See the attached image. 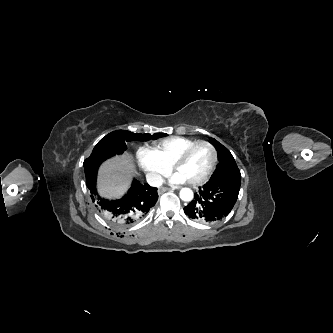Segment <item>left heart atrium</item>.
<instances>
[{"mask_svg":"<svg viewBox=\"0 0 333 333\" xmlns=\"http://www.w3.org/2000/svg\"><path fill=\"white\" fill-rule=\"evenodd\" d=\"M170 181L173 184H182V183L187 182L186 178L177 172L172 175V177L170 178Z\"/></svg>","mask_w":333,"mask_h":333,"instance_id":"obj_1","label":"left heart atrium"}]
</instances>
